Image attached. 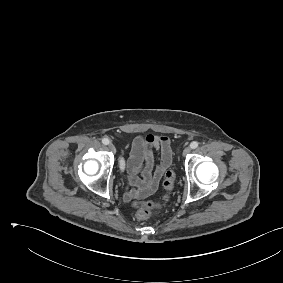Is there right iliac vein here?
I'll list each match as a JSON object with an SVG mask.
<instances>
[{
	"label": "right iliac vein",
	"instance_id": "obj_1",
	"mask_svg": "<svg viewBox=\"0 0 283 283\" xmlns=\"http://www.w3.org/2000/svg\"><path fill=\"white\" fill-rule=\"evenodd\" d=\"M108 147H109V150H110L111 152H113V153L116 152V148H115V146H114L112 143H110Z\"/></svg>",
	"mask_w": 283,
	"mask_h": 283
}]
</instances>
